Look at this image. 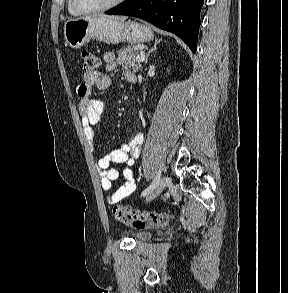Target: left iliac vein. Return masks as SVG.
Listing matches in <instances>:
<instances>
[{
    "label": "left iliac vein",
    "mask_w": 288,
    "mask_h": 293,
    "mask_svg": "<svg viewBox=\"0 0 288 293\" xmlns=\"http://www.w3.org/2000/svg\"><path fill=\"white\" fill-rule=\"evenodd\" d=\"M169 181H170L169 177L167 176L162 177L161 180H159L156 187L147 195L146 202L156 198L165 189Z\"/></svg>",
    "instance_id": "left-iliac-vein-1"
}]
</instances>
